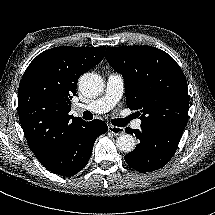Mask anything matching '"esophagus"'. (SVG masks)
Masks as SVG:
<instances>
[{
  "label": "esophagus",
  "instance_id": "1",
  "mask_svg": "<svg viewBox=\"0 0 215 215\" xmlns=\"http://www.w3.org/2000/svg\"><path fill=\"white\" fill-rule=\"evenodd\" d=\"M108 131L116 136L124 134V128L118 127V126H113V125H108Z\"/></svg>",
  "mask_w": 215,
  "mask_h": 215
}]
</instances>
